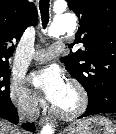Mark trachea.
<instances>
[{
    "label": "trachea",
    "instance_id": "1",
    "mask_svg": "<svg viewBox=\"0 0 116 134\" xmlns=\"http://www.w3.org/2000/svg\"><path fill=\"white\" fill-rule=\"evenodd\" d=\"M39 7L42 18V26L43 28H46L49 22V0H40Z\"/></svg>",
    "mask_w": 116,
    "mask_h": 134
}]
</instances>
